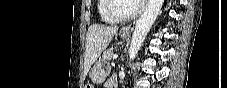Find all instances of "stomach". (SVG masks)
Wrapping results in <instances>:
<instances>
[{"label": "stomach", "instance_id": "0dacf381", "mask_svg": "<svg viewBox=\"0 0 227 88\" xmlns=\"http://www.w3.org/2000/svg\"><path fill=\"white\" fill-rule=\"evenodd\" d=\"M120 36L122 38H127L129 36V33L125 32V31H121ZM107 73H108V71H107L103 61L99 60L94 64V66L90 70L89 75H90L91 80L94 83L100 84L105 80Z\"/></svg>", "mask_w": 227, "mask_h": 88}]
</instances>
